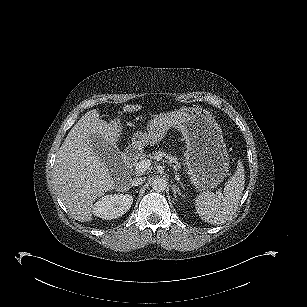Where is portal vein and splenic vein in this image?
<instances>
[{
    "label": "portal vein and splenic vein",
    "mask_w": 307,
    "mask_h": 307,
    "mask_svg": "<svg viewBox=\"0 0 307 307\" xmlns=\"http://www.w3.org/2000/svg\"><path fill=\"white\" fill-rule=\"evenodd\" d=\"M151 165L150 160H141L135 165V171L137 173H141L146 171Z\"/></svg>",
    "instance_id": "portal-vein-and-splenic-vein-1"
}]
</instances>
